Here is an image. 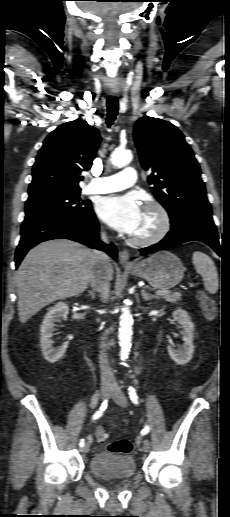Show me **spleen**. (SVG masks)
<instances>
[{"instance_id": "3e777b00", "label": "spleen", "mask_w": 230, "mask_h": 517, "mask_svg": "<svg viewBox=\"0 0 230 517\" xmlns=\"http://www.w3.org/2000/svg\"><path fill=\"white\" fill-rule=\"evenodd\" d=\"M193 265L202 276L205 289L214 294L218 290V273L213 260L206 254L195 251L193 253Z\"/></svg>"}]
</instances>
